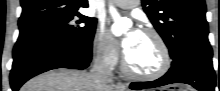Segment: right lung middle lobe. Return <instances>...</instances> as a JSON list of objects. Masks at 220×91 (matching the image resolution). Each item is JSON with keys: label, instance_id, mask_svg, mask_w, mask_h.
Returning <instances> with one entry per match:
<instances>
[{"label": "right lung middle lobe", "instance_id": "dd1d6c3e", "mask_svg": "<svg viewBox=\"0 0 220 91\" xmlns=\"http://www.w3.org/2000/svg\"><path fill=\"white\" fill-rule=\"evenodd\" d=\"M22 31H45L69 40L76 45L93 41L96 19L77 11L48 15L24 24H19Z\"/></svg>", "mask_w": 220, "mask_h": 91}]
</instances>
